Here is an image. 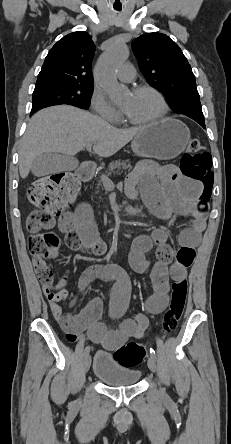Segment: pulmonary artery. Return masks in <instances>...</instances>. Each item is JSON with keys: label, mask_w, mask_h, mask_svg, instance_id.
I'll return each instance as SVG.
<instances>
[{"label": "pulmonary artery", "mask_w": 231, "mask_h": 444, "mask_svg": "<svg viewBox=\"0 0 231 444\" xmlns=\"http://www.w3.org/2000/svg\"><path fill=\"white\" fill-rule=\"evenodd\" d=\"M136 70L132 64H123L117 72V77L122 82H132L135 79Z\"/></svg>", "instance_id": "1"}]
</instances>
